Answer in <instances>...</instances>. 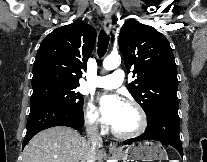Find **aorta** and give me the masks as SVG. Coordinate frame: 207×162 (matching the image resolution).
Masks as SVG:
<instances>
[{
  "instance_id": "1",
  "label": "aorta",
  "mask_w": 207,
  "mask_h": 162,
  "mask_svg": "<svg viewBox=\"0 0 207 162\" xmlns=\"http://www.w3.org/2000/svg\"><path fill=\"white\" fill-rule=\"evenodd\" d=\"M121 63V57L118 54H110L103 61V67L105 70H113L117 68Z\"/></svg>"
}]
</instances>
